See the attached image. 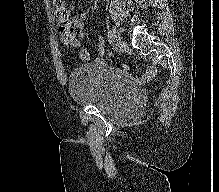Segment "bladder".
I'll return each mask as SVG.
<instances>
[{
    "label": "bladder",
    "instance_id": "bladder-1",
    "mask_svg": "<svg viewBox=\"0 0 219 192\" xmlns=\"http://www.w3.org/2000/svg\"><path fill=\"white\" fill-rule=\"evenodd\" d=\"M69 91L75 102L92 106L105 116L124 120L135 116L140 93L129 76L103 64L77 66L68 77Z\"/></svg>",
    "mask_w": 219,
    "mask_h": 192
}]
</instances>
